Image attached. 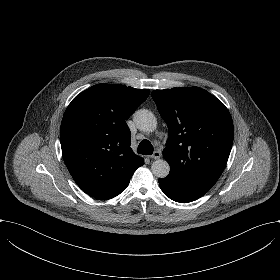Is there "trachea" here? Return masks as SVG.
Returning a JSON list of instances; mask_svg holds the SVG:
<instances>
[{
	"instance_id": "3493384b",
	"label": "trachea",
	"mask_w": 280,
	"mask_h": 280,
	"mask_svg": "<svg viewBox=\"0 0 280 280\" xmlns=\"http://www.w3.org/2000/svg\"><path fill=\"white\" fill-rule=\"evenodd\" d=\"M154 151V148L149 140L144 139L140 142L137 152L143 155H151Z\"/></svg>"
}]
</instances>
